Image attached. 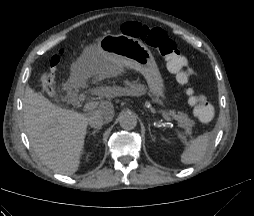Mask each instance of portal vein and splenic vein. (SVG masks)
<instances>
[{
    "mask_svg": "<svg viewBox=\"0 0 254 216\" xmlns=\"http://www.w3.org/2000/svg\"><path fill=\"white\" fill-rule=\"evenodd\" d=\"M97 106H98V103H97V102H94V101L89 102V103H86V104L84 105V107H83V111L86 112V111L95 109ZM162 118H163L164 120L168 121V122H172V121H173V119H172L170 116L166 115V114H162Z\"/></svg>",
    "mask_w": 254,
    "mask_h": 216,
    "instance_id": "18ae733b",
    "label": "portal vein and splenic vein"
}]
</instances>
